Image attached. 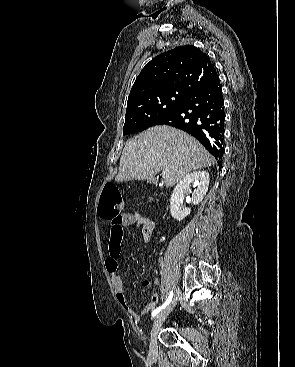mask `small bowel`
<instances>
[{
    "label": "small bowel",
    "instance_id": "c3829d8e",
    "mask_svg": "<svg viewBox=\"0 0 295 367\" xmlns=\"http://www.w3.org/2000/svg\"><path fill=\"white\" fill-rule=\"evenodd\" d=\"M133 225L141 226V234L144 241L150 240L154 230V222L151 219L142 217L136 211L123 214L118 221H111L108 246L109 255L105 260V266L111 276V282L118 302L134 319H140L156 306L159 301V294L154 293L140 312L132 310L127 304L126 289L118 268V258L121 253L123 230L125 227ZM152 284L158 285L159 279H145L142 282L144 287Z\"/></svg>",
    "mask_w": 295,
    "mask_h": 367
}]
</instances>
